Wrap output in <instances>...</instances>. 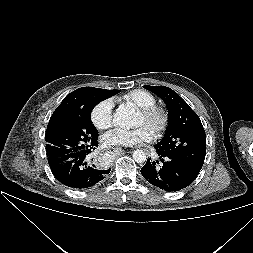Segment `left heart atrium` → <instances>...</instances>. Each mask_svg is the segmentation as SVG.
Returning <instances> with one entry per match:
<instances>
[{"label":"left heart atrium","mask_w":253,"mask_h":253,"mask_svg":"<svg viewBox=\"0 0 253 253\" xmlns=\"http://www.w3.org/2000/svg\"><path fill=\"white\" fill-rule=\"evenodd\" d=\"M154 138V132L146 125H140L135 129H114L107 132L102 141L107 146L131 147L150 142Z\"/></svg>","instance_id":"1"}]
</instances>
